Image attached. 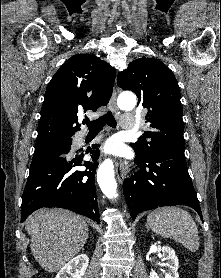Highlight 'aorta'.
<instances>
[{
  "mask_svg": "<svg viewBox=\"0 0 221 278\" xmlns=\"http://www.w3.org/2000/svg\"><path fill=\"white\" fill-rule=\"evenodd\" d=\"M136 99L132 96L128 99L123 98L119 106L121 109L128 110L135 106ZM97 182L103 194L114 199L117 196V183L114 176V166L111 160H105L99 167L97 172Z\"/></svg>",
  "mask_w": 221,
  "mask_h": 278,
  "instance_id": "obj_1",
  "label": "aorta"
}]
</instances>
